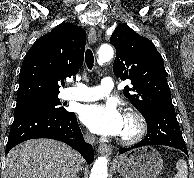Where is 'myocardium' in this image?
Returning a JSON list of instances; mask_svg holds the SVG:
<instances>
[{
	"instance_id": "myocardium-1",
	"label": "myocardium",
	"mask_w": 194,
	"mask_h": 178,
	"mask_svg": "<svg viewBox=\"0 0 194 178\" xmlns=\"http://www.w3.org/2000/svg\"><path fill=\"white\" fill-rule=\"evenodd\" d=\"M124 117L131 120L134 124V131L128 136H120L118 141L123 145H133L142 140L147 132V123L141 113L136 110H127Z\"/></svg>"
}]
</instances>
